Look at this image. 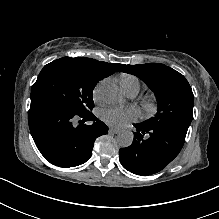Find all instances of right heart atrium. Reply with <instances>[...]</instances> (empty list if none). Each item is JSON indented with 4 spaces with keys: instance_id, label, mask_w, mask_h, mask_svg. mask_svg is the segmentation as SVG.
<instances>
[{
    "instance_id": "obj_1",
    "label": "right heart atrium",
    "mask_w": 219,
    "mask_h": 219,
    "mask_svg": "<svg viewBox=\"0 0 219 219\" xmlns=\"http://www.w3.org/2000/svg\"><path fill=\"white\" fill-rule=\"evenodd\" d=\"M106 80H101L95 87L92 89L91 96L94 102H100L102 100V89L105 85Z\"/></svg>"
}]
</instances>
